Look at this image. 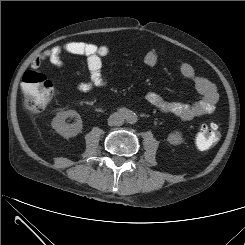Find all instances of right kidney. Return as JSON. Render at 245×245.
Masks as SVG:
<instances>
[{
    "mask_svg": "<svg viewBox=\"0 0 245 245\" xmlns=\"http://www.w3.org/2000/svg\"><path fill=\"white\" fill-rule=\"evenodd\" d=\"M69 117H76L77 122L74 124H67L65 120ZM51 125L57 133L68 139L78 135L83 128L82 120L75 110H67L59 112L52 120Z\"/></svg>",
    "mask_w": 245,
    "mask_h": 245,
    "instance_id": "1",
    "label": "right kidney"
}]
</instances>
